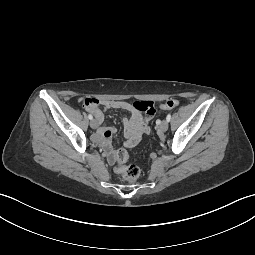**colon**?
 <instances>
[{
	"mask_svg": "<svg viewBox=\"0 0 255 255\" xmlns=\"http://www.w3.org/2000/svg\"><path fill=\"white\" fill-rule=\"evenodd\" d=\"M85 106L97 104V100L94 98H85L83 101ZM179 105V101L175 99L167 100L162 104V107L165 109L175 108ZM128 153L125 149H119L114 154L115 159V171L120 174L123 179L128 182H134L140 175V169L135 164L126 165L128 160Z\"/></svg>",
	"mask_w": 255,
	"mask_h": 255,
	"instance_id": "5ec220e1",
	"label": "colon"
}]
</instances>
